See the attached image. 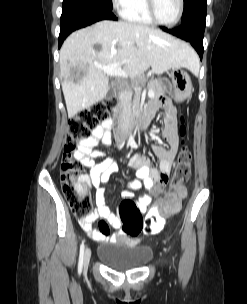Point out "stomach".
<instances>
[{"label": "stomach", "mask_w": 247, "mask_h": 304, "mask_svg": "<svg viewBox=\"0 0 247 304\" xmlns=\"http://www.w3.org/2000/svg\"><path fill=\"white\" fill-rule=\"evenodd\" d=\"M171 83L168 85L169 95L176 101L186 100L192 93V82L188 73L180 68H174L169 74Z\"/></svg>", "instance_id": "0dacf381"}]
</instances>
